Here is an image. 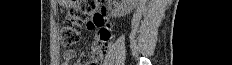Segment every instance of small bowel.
<instances>
[{
    "label": "small bowel",
    "instance_id": "c3829d8e",
    "mask_svg": "<svg viewBox=\"0 0 232 65\" xmlns=\"http://www.w3.org/2000/svg\"><path fill=\"white\" fill-rule=\"evenodd\" d=\"M87 29L93 30L98 29L97 37L105 36L104 39L107 44L112 41V29L110 24L107 23L106 13L97 12L92 18L87 22ZM75 51L73 49L66 50L63 53L62 65H70L72 59L75 57ZM81 65V64H76ZM84 65H103V62H89Z\"/></svg>",
    "mask_w": 232,
    "mask_h": 65
}]
</instances>
